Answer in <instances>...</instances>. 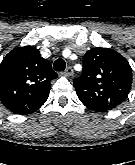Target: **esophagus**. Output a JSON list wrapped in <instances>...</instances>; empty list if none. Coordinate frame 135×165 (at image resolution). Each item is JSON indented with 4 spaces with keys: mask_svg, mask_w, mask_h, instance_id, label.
I'll return each mask as SVG.
<instances>
[{
    "mask_svg": "<svg viewBox=\"0 0 135 165\" xmlns=\"http://www.w3.org/2000/svg\"><path fill=\"white\" fill-rule=\"evenodd\" d=\"M65 76H72L73 75V69L71 66H68L65 71L63 72Z\"/></svg>",
    "mask_w": 135,
    "mask_h": 165,
    "instance_id": "esophagus-1",
    "label": "esophagus"
}]
</instances>
